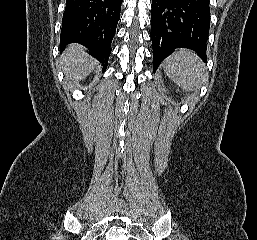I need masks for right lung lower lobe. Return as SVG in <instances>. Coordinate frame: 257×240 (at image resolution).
<instances>
[{
    "label": "right lung lower lobe",
    "mask_w": 257,
    "mask_h": 240,
    "mask_svg": "<svg viewBox=\"0 0 257 240\" xmlns=\"http://www.w3.org/2000/svg\"><path fill=\"white\" fill-rule=\"evenodd\" d=\"M121 4L122 0H66L60 50L70 43H79L106 69Z\"/></svg>",
    "instance_id": "98d812e1"
}]
</instances>
